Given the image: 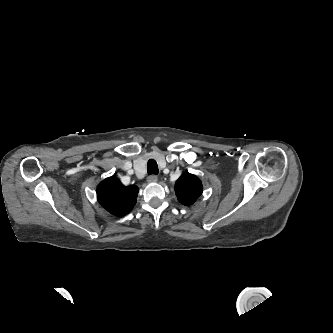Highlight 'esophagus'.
<instances>
[{"mask_svg": "<svg viewBox=\"0 0 333 333\" xmlns=\"http://www.w3.org/2000/svg\"><path fill=\"white\" fill-rule=\"evenodd\" d=\"M158 180V176L157 175H150L147 178V181L152 183V182H156Z\"/></svg>", "mask_w": 333, "mask_h": 333, "instance_id": "1", "label": "esophagus"}]
</instances>
